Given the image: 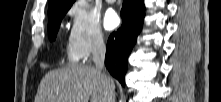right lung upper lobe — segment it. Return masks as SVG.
<instances>
[{
	"label": "right lung upper lobe",
	"instance_id": "cb5924a9",
	"mask_svg": "<svg viewBox=\"0 0 221 102\" xmlns=\"http://www.w3.org/2000/svg\"><path fill=\"white\" fill-rule=\"evenodd\" d=\"M75 0H49L48 18H51L60 10L71 7Z\"/></svg>",
	"mask_w": 221,
	"mask_h": 102
}]
</instances>
